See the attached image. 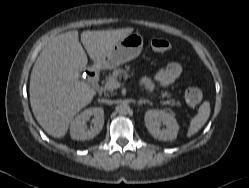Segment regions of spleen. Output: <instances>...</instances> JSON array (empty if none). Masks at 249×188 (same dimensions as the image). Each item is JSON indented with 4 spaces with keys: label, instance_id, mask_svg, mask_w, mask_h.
Here are the masks:
<instances>
[{
    "label": "spleen",
    "instance_id": "1",
    "mask_svg": "<svg viewBox=\"0 0 249 188\" xmlns=\"http://www.w3.org/2000/svg\"><path fill=\"white\" fill-rule=\"evenodd\" d=\"M209 115H210V104L208 101H205L199 107L197 115L190 121L187 137H191L195 133H197L207 122Z\"/></svg>",
    "mask_w": 249,
    "mask_h": 188
}]
</instances>
